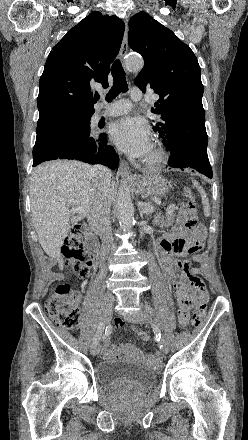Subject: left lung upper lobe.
Segmentation results:
<instances>
[{"label":"left lung upper lobe","instance_id":"obj_1","mask_svg":"<svg viewBox=\"0 0 248 440\" xmlns=\"http://www.w3.org/2000/svg\"><path fill=\"white\" fill-rule=\"evenodd\" d=\"M129 27L128 44L144 58L135 84L143 92L153 89L159 95L152 112L161 121L153 129L167 148L177 144L206 148L204 88L193 51L145 12L134 15Z\"/></svg>","mask_w":248,"mask_h":440}]
</instances>
